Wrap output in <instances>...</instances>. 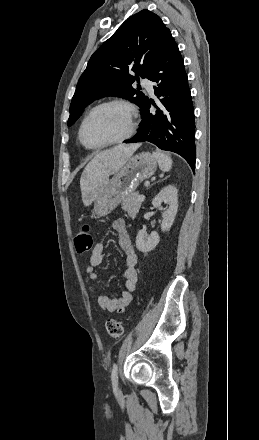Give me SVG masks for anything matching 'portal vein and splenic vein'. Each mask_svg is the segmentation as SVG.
<instances>
[{"label": "portal vein and splenic vein", "mask_w": 259, "mask_h": 440, "mask_svg": "<svg viewBox=\"0 0 259 440\" xmlns=\"http://www.w3.org/2000/svg\"><path fill=\"white\" fill-rule=\"evenodd\" d=\"M144 199H145V196H144V195H139V196H138V200H139V201L143 202Z\"/></svg>", "instance_id": "18ae733b"}]
</instances>
